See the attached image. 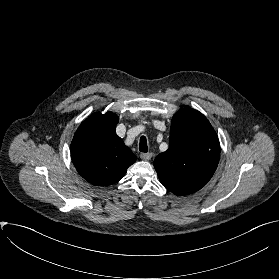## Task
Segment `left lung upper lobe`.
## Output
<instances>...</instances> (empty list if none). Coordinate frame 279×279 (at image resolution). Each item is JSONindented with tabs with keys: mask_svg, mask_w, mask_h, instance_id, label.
<instances>
[{
	"mask_svg": "<svg viewBox=\"0 0 279 279\" xmlns=\"http://www.w3.org/2000/svg\"><path fill=\"white\" fill-rule=\"evenodd\" d=\"M219 157V140L207 118L185 108L172 118L170 146L155 158L154 167L166 189L175 195H188L211 179Z\"/></svg>",
	"mask_w": 279,
	"mask_h": 279,
	"instance_id": "obj_1",
	"label": "left lung upper lobe"
}]
</instances>
